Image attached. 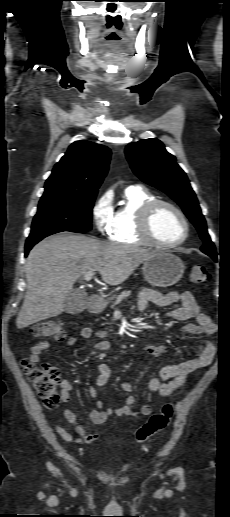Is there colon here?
Here are the masks:
<instances>
[{
	"label": "colon",
	"instance_id": "5ec220e1",
	"mask_svg": "<svg viewBox=\"0 0 230 517\" xmlns=\"http://www.w3.org/2000/svg\"><path fill=\"white\" fill-rule=\"evenodd\" d=\"M210 272L204 265H194L189 272V280L192 284H205L210 280ZM31 333L36 337L63 338L65 331L62 324L55 321L37 322L30 327ZM25 375L32 383L37 395L47 408H54L59 402L57 386L60 381V372L56 367L43 363L37 364L30 359L23 361ZM173 416V405L166 404L161 412L152 415L135 434L138 443H145L153 435L165 429Z\"/></svg>",
	"mask_w": 230,
	"mask_h": 517
}]
</instances>
